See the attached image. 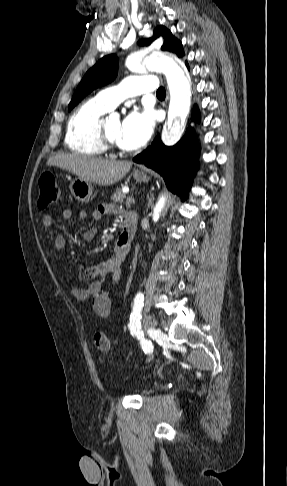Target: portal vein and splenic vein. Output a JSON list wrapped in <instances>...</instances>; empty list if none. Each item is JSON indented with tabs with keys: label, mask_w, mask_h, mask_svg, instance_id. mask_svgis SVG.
<instances>
[{
	"label": "portal vein and splenic vein",
	"mask_w": 287,
	"mask_h": 486,
	"mask_svg": "<svg viewBox=\"0 0 287 486\" xmlns=\"http://www.w3.org/2000/svg\"><path fill=\"white\" fill-rule=\"evenodd\" d=\"M134 203H135V200L132 196L127 197L126 204L131 205V204H134Z\"/></svg>",
	"instance_id": "1"
}]
</instances>
